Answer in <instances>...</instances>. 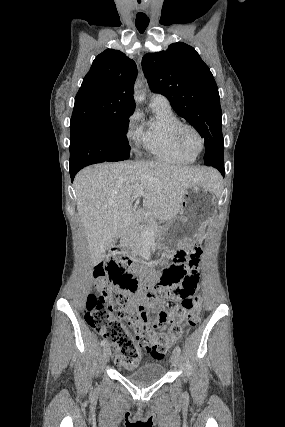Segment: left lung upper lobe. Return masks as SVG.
<instances>
[{
  "label": "left lung upper lobe",
  "instance_id": "1",
  "mask_svg": "<svg viewBox=\"0 0 285 427\" xmlns=\"http://www.w3.org/2000/svg\"><path fill=\"white\" fill-rule=\"evenodd\" d=\"M142 68L150 89L164 95L204 138L205 165L214 167L224 159L219 92L197 51L185 43H173L166 51L144 55Z\"/></svg>",
  "mask_w": 285,
  "mask_h": 427
}]
</instances>
